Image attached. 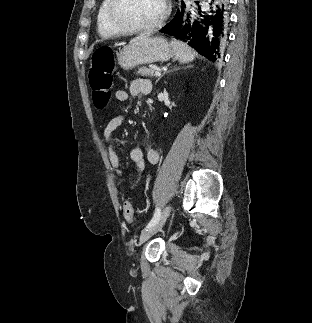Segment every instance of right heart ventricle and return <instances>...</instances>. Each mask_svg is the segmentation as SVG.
I'll list each match as a JSON object with an SVG mask.
<instances>
[{
	"label": "right heart ventricle",
	"instance_id": "1",
	"mask_svg": "<svg viewBox=\"0 0 312 323\" xmlns=\"http://www.w3.org/2000/svg\"><path fill=\"white\" fill-rule=\"evenodd\" d=\"M113 7L111 1H98L94 9V20H96L97 33H113L114 29H121V22L113 18Z\"/></svg>",
	"mask_w": 312,
	"mask_h": 323
}]
</instances>
